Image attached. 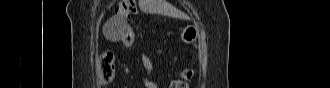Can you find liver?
Segmentation results:
<instances>
[{
  "label": "liver",
  "mask_w": 330,
  "mask_h": 88,
  "mask_svg": "<svg viewBox=\"0 0 330 88\" xmlns=\"http://www.w3.org/2000/svg\"><path fill=\"white\" fill-rule=\"evenodd\" d=\"M162 4V6H161ZM165 3L162 2H155L153 0H139V7L143 11L147 12H164L168 13L167 8H163Z\"/></svg>",
  "instance_id": "liver-1"
}]
</instances>
